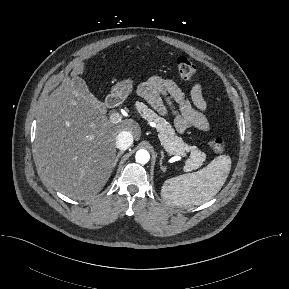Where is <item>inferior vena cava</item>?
Instances as JSON below:
<instances>
[{
  "label": "inferior vena cava",
  "instance_id": "602c4592",
  "mask_svg": "<svg viewBox=\"0 0 289 289\" xmlns=\"http://www.w3.org/2000/svg\"><path fill=\"white\" fill-rule=\"evenodd\" d=\"M133 143V136L129 131H121L117 135L116 147L122 151L128 149Z\"/></svg>",
  "mask_w": 289,
  "mask_h": 289
}]
</instances>
